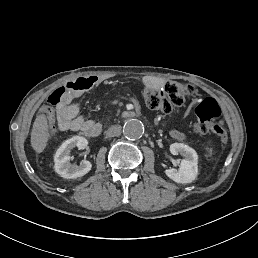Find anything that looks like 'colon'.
Masks as SVG:
<instances>
[{
  "label": "colon",
  "instance_id": "5ec220e1",
  "mask_svg": "<svg viewBox=\"0 0 258 258\" xmlns=\"http://www.w3.org/2000/svg\"><path fill=\"white\" fill-rule=\"evenodd\" d=\"M72 86L64 84L55 89L48 97V104L45 114L48 120L53 116V108H57L64 103L72 90ZM192 93V86L178 81H169L161 89H147L145 98L148 106L163 114L171 113L175 108L182 106ZM220 107L212 98H206L196 108L197 122L193 126L195 134H205L213 132L222 143H226L228 135L220 123L214 120L220 116Z\"/></svg>",
  "mask_w": 258,
  "mask_h": 258
}]
</instances>
